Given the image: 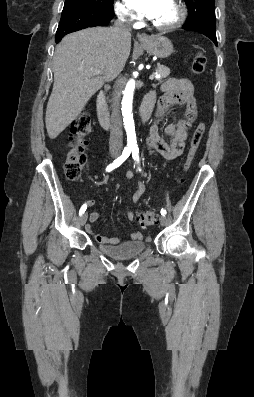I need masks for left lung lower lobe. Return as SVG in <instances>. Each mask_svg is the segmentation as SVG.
<instances>
[{
	"instance_id": "1",
	"label": "left lung lower lobe",
	"mask_w": 254,
	"mask_h": 397,
	"mask_svg": "<svg viewBox=\"0 0 254 397\" xmlns=\"http://www.w3.org/2000/svg\"><path fill=\"white\" fill-rule=\"evenodd\" d=\"M183 29L196 31L209 37L217 46L216 38V18L215 15L207 14L200 16L197 12L191 13L189 11L186 23Z\"/></svg>"
}]
</instances>
